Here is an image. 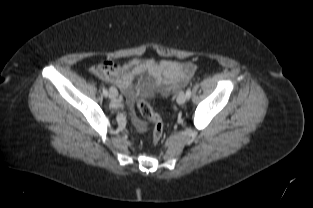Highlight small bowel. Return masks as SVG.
Wrapping results in <instances>:
<instances>
[{
    "label": "small bowel",
    "instance_id": "1",
    "mask_svg": "<svg viewBox=\"0 0 313 208\" xmlns=\"http://www.w3.org/2000/svg\"><path fill=\"white\" fill-rule=\"evenodd\" d=\"M147 71L157 81H162L169 89L178 88L191 79L196 71L193 63H181L173 60H162L157 62L154 59L133 58L123 64H116L112 60H104L94 66L91 72L104 82L112 83L126 94L133 89L135 79L142 72ZM139 128L144 123L135 120Z\"/></svg>",
    "mask_w": 313,
    "mask_h": 208
}]
</instances>
